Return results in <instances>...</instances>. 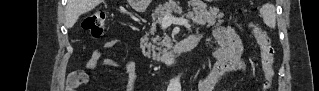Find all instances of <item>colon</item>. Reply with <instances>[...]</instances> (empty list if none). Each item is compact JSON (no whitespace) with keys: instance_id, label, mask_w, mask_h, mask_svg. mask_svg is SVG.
<instances>
[{"instance_id":"5ec220e1","label":"colon","mask_w":319,"mask_h":91,"mask_svg":"<svg viewBox=\"0 0 319 91\" xmlns=\"http://www.w3.org/2000/svg\"><path fill=\"white\" fill-rule=\"evenodd\" d=\"M106 22V13L95 11L83 19L82 28L96 38L105 33ZM250 26L260 47L261 67L265 77L263 90H270L274 78V49L267 34L261 30L256 21H252Z\"/></svg>"}]
</instances>
